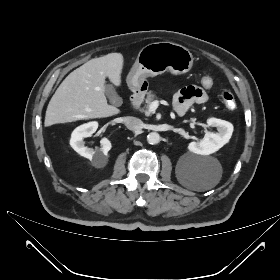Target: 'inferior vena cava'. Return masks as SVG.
I'll return each mask as SVG.
<instances>
[{
	"label": "inferior vena cava",
	"instance_id": "obj_1",
	"mask_svg": "<svg viewBox=\"0 0 280 280\" xmlns=\"http://www.w3.org/2000/svg\"><path fill=\"white\" fill-rule=\"evenodd\" d=\"M124 124L132 131H139L143 128V122L140 119L132 116L125 117Z\"/></svg>",
	"mask_w": 280,
	"mask_h": 280
}]
</instances>
